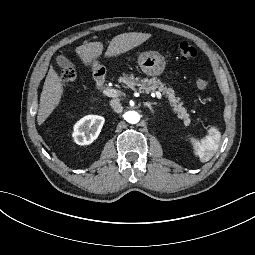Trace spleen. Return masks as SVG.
<instances>
[{"mask_svg":"<svg viewBox=\"0 0 255 255\" xmlns=\"http://www.w3.org/2000/svg\"><path fill=\"white\" fill-rule=\"evenodd\" d=\"M221 136L220 129L213 127L209 135L200 140L199 147L194 151V155L200 162H208L214 156L219 148Z\"/></svg>","mask_w":255,"mask_h":255,"instance_id":"3e777b00","label":"spleen"}]
</instances>
